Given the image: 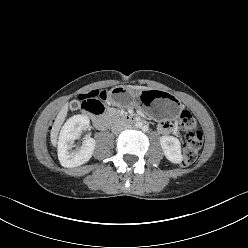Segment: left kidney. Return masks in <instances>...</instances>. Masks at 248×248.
<instances>
[{"instance_id": "obj_1", "label": "left kidney", "mask_w": 248, "mask_h": 248, "mask_svg": "<svg viewBox=\"0 0 248 248\" xmlns=\"http://www.w3.org/2000/svg\"><path fill=\"white\" fill-rule=\"evenodd\" d=\"M160 145L163 149L164 155L172 163L182 162L180 141L173 136L160 137Z\"/></svg>"}]
</instances>
